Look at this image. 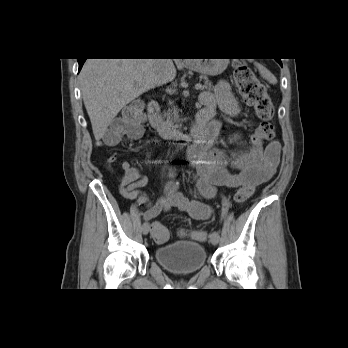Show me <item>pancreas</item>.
Wrapping results in <instances>:
<instances>
[{"label": "pancreas", "mask_w": 348, "mask_h": 348, "mask_svg": "<svg viewBox=\"0 0 348 348\" xmlns=\"http://www.w3.org/2000/svg\"><path fill=\"white\" fill-rule=\"evenodd\" d=\"M202 79H204V85L203 89L212 91L213 90V85L212 83L208 80L206 76H201ZM171 108L165 112L164 116L167 118V122L174 125L175 123H180L182 119L179 117V109L177 106L174 104H170Z\"/></svg>", "instance_id": "1"}]
</instances>
